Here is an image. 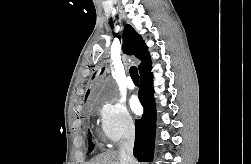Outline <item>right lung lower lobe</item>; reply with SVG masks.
<instances>
[{"label":"right lung lower lobe","instance_id":"obj_1","mask_svg":"<svg viewBox=\"0 0 251 164\" xmlns=\"http://www.w3.org/2000/svg\"><path fill=\"white\" fill-rule=\"evenodd\" d=\"M153 74L151 66L140 72L139 99L144 115L135 122L133 154L139 162H152L156 129V109L153 98Z\"/></svg>","mask_w":251,"mask_h":164}]
</instances>
